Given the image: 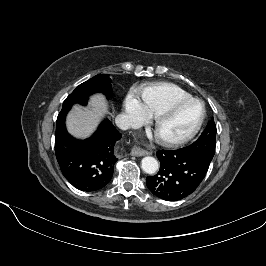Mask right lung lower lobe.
Listing matches in <instances>:
<instances>
[{
	"mask_svg": "<svg viewBox=\"0 0 266 266\" xmlns=\"http://www.w3.org/2000/svg\"><path fill=\"white\" fill-rule=\"evenodd\" d=\"M71 107L62 108L57 117L55 153L64 177L77 189L97 191L111 180L118 160L115 146L121 138L109 120L86 140H76L66 130L65 119Z\"/></svg>",
	"mask_w": 266,
	"mask_h": 266,
	"instance_id": "98d812e1",
	"label": "right lung lower lobe"
}]
</instances>
